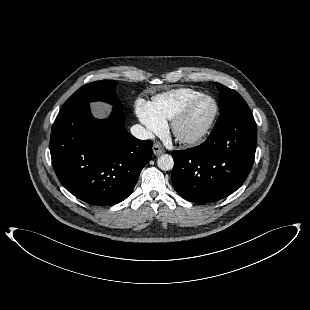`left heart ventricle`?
Masks as SVG:
<instances>
[{
	"mask_svg": "<svg viewBox=\"0 0 310 310\" xmlns=\"http://www.w3.org/2000/svg\"><path fill=\"white\" fill-rule=\"evenodd\" d=\"M213 111V104L210 100L198 102L190 111L186 120L181 125V132L184 135H192L199 131L206 123Z\"/></svg>",
	"mask_w": 310,
	"mask_h": 310,
	"instance_id": "obj_1",
	"label": "left heart ventricle"
}]
</instances>
